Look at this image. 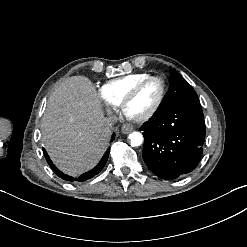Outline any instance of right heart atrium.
Segmentation results:
<instances>
[{"label": "right heart atrium", "mask_w": 247, "mask_h": 247, "mask_svg": "<svg viewBox=\"0 0 247 247\" xmlns=\"http://www.w3.org/2000/svg\"><path fill=\"white\" fill-rule=\"evenodd\" d=\"M112 106H113V108H114V104H112V103H110Z\"/></svg>", "instance_id": "right-heart-atrium-1"}]
</instances>
